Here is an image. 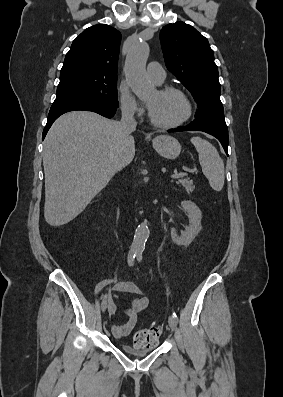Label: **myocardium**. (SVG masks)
I'll use <instances>...</instances> for the list:
<instances>
[{"label": "myocardium", "mask_w": 283, "mask_h": 397, "mask_svg": "<svg viewBox=\"0 0 283 397\" xmlns=\"http://www.w3.org/2000/svg\"><path fill=\"white\" fill-rule=\"evenodd\" d=\"M158 92L160 94H162V95L168 94V93H178V94H180L185 99V101L187 103V113L180 120H177V121L171 122V123H162V122L157 121L153 117V115H152V113H151V111H150V109L148 107L149 120L154 126H156L158 128H163V129H172V128H176V127H179V126L183 125L184 123H186L191 118V116L193 114L194 106H193V102H192L190 96L188 95V93L186 91H184L183 89H181L179 87H176V86L166 85V86L160 87L158 89Z\"/></svg>", "instance_id": "f54148a6"}]
</instances>
